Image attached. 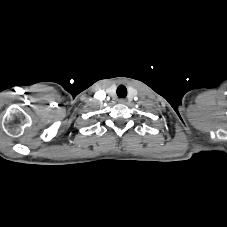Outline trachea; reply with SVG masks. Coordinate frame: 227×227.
<instances>
[{"label":"trachea","instance_id":"trachea-1","mask_svg":"<svg viewBox=\"0 0 227 227\" xmlns=\"http://www.w3.org/2000/svg\"><path fill=\"white\" fill-rule=\"evenodd\" d=\"M117 96L119 98H125L127 96V89L124 85H119L117 88Z\"/></svg>","mask_w":227,"mask_h":227}]
</instances>
